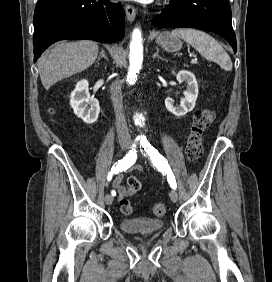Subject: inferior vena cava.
<instances>
[{"label":"inferior vena cava","instance_id":"1","mask_svg":"<svg viewBox=\"0 0 272 282\" xmlns=\"http://www.w3.org/2000/svg\"><path fill=\"white\" fill-rule=\"evenodd\" d=\"M110 94L116 115L117 136L120 141L129 140L130 134L128 132L125 117L122 113L123 103H122L121 83L119 81H115L114 83H112L110 87Z\"/></svg>","mask_w":272,"mask_h":282}]
</instances>
